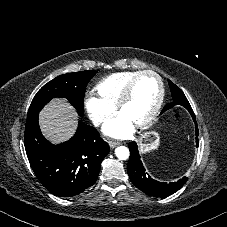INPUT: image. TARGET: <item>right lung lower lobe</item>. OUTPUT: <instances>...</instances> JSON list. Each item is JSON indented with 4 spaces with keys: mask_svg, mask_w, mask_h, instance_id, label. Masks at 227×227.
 Returning a JSON list of instances; mask_svg holds the SVG:
<instances>
[{
    "mask_svg": "<svg viewBox=\"0 0 227 227\" xmlns=\"http://www.w3.org/2000/svg\"><path fill=\"white\" fill-rule=\"evenodd\" d=\"M24 144L39 181L61 197L78 195L92 186L101 162L110 151L99 132L81 121L70 140L53 145L42 135L38 115L27 119Z\"/></svg>",
    "mask_w": 227,
    "mask_h": 227,
    "instance_id": "right-lung-lower-lobe-1",
    "label": "right lung lower lobe"
}]
</instances>
